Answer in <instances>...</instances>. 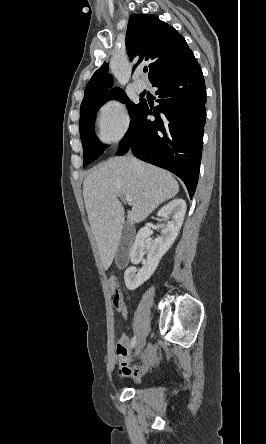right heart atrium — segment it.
Instances as JSON below:
<instances>
[{
	"instance_id": "d8ad5b80",
	"label": "right heart atrium",
	"mask_w": 266,
	"mask_h": 444,
	"mask_svg": "<svg viewBox=\"0 0 266 444\" xmlns=\"http://www.w3.org/2000/svg\"><path fill=\"white\" fill-rule=\"evenodd\" d=\"M129 126V115L118 100L110 99L100 107L97 132L101 142L109 145L118 143L127 133Z\"/></svg>"
}]
</instances>
